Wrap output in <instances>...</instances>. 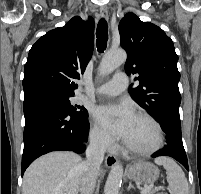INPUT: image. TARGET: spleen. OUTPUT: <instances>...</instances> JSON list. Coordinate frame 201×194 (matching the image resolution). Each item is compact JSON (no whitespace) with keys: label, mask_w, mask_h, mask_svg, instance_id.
<instances>
[{"label":"spleen","mask_w":201,"mask_h":194,"mask_svg":"<svg viewBox=\"0 0 201 194\" xmlns=\"http://www.w3.org/2000/svg\"><path fill=\"white\" fill-rule=\"evenodd\" d=\"M157 165H163L167 171V182L172 194H188V182L181 167L171 158L158 157Z\"/></svg>","instance_id":"obj_1"}]
</instances>
